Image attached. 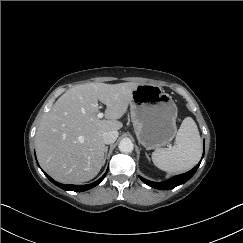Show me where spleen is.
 Returning a JSON list of instances; mask_svg holds the SVG:
<instances>
[{"mask_svg":"<svg viewBox=\"0 0 243 243\" xmlns=\"http://www.w3.org/2000/svg\"><path fill=\"white\" fill-rule=\"evenodd\" d=\"M175 145L159 148L152 153L156 167L166 172H185L201 158L202 143L195 121L186 117L177 132Z\"/></svg>","mask_w":243,"mask_h":243,"instance_id":"obj_1","label":"spleen"}]
</instances>
